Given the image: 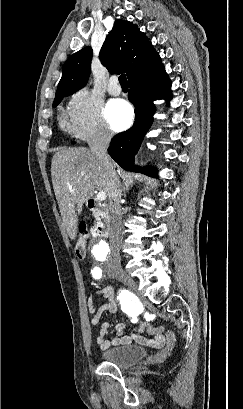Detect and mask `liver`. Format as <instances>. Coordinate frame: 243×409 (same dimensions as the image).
<instances>
[{
	"mask_svg": "<svg viewBox=\"0 0 243 409\" xmlns=\"http://www.w3.org/2000/svg\"><path fill=\"white\" fill-rule=\"evenodd\" d=\"M110 166L116 168L111 160ZM51 176L63 224L69 237L75 239L78 215L85 201L92 197L95 190L108 192V171L103 160L88 148L73 147L54 154Z\"/></svg>",
	"mask_w": 243,
	"mask_h": 409,
	"instance_id": "1",
	"label": "liver"
}]
</instances>
